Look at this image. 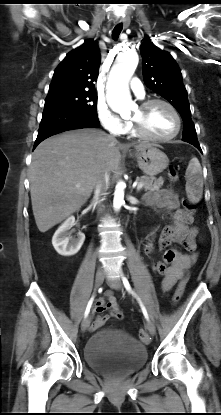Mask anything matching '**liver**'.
<instances>
[{
    "instance_id": "liver-1",
    "label": "liver",
    "mask_w": 221,
    "mask_h": 415,
    "mask_svg": "<svg viewBox=\"0 0 221 415\" xmlns=\"http://www.w3.org/2000/svg\"><path fill=\"white\" fill-rule=\"evenodd\" d=\"M148 145L121 144L91 128L68 131L40 143L29 170L32 210L39 231H48L87 202L100 175L118 169L120 149L134 146L140 150Z\"/></svg>"
}]
</instances>
